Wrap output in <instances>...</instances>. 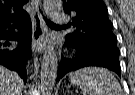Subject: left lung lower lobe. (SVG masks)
I'll return each instance as SVG.
<instances>
[{"label": "left lung lower lobe", "instance_id": "0a47b994", "mask_svg": "<svg viewBox=\"0 0 135 95\" xmlns=\"http://www.w3.org/2000/svg\"><path fill=\"white\" fill-rule=\"evenodd\" d=\"M66 46L76 49L74 58H61L57 71L60 80L65 74L88 66L105 67L121 76L119 49L117 41L97 39L86 42H75L66 38Z\"/></svg>", "mask_w": 135, "mask_h": 95}]
</instances>
